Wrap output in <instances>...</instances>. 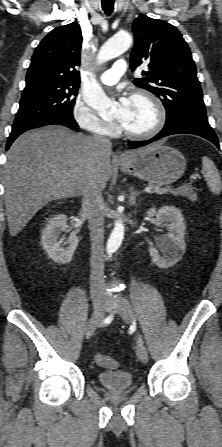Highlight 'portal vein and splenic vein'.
<instances>
[{"instance_id": "obj_1", "label": "portal vein and splenic vein", "mask_w": 222, "mask_h": 447, "mask_svg": "<svg viewBox=\"0 0 222 447\" xmlns=\"http://www.w3.org/2000/svg\"><path fill=\"white\" fill-rule=\"evenodd\" d=\"M171 188H172L171 186H165V187H162V188H157V192L159 194L166 193V192L170 191ZM150 190H151V187H146V189H145L146 192H149Z\"/></svg>"}]
</instances>
